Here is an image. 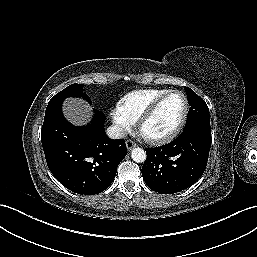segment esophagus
I'll return each mask as SVG.
<instances>
[{"label":"esophagus","mask_w":257,"mask_h":257,"mask_svg":"<svg viewBox=\"0 0 257 257\" xmlns=\"http://www.w3.org/2000/svg\"><path fill=\"white\" fill-rule=\"evenodd\" d=\"M126 147L130 151V150H132L133 148L136 147V143L132 140H127L126 141Z\"/></svg>","instance_id":"1"}]
</instances>
